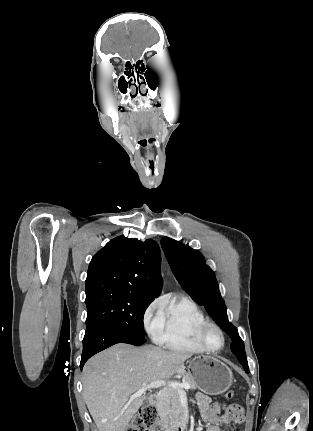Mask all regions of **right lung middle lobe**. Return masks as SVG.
I'll use <instances>...</instances> for the list:
<instances>
[{
	"label": "right lung middle lobe",
	"mask_w": 313,
	"mask_h": 431,
	"mask_svg": "<svg viewBox=\"0 0 313 431\" xmlns=\"http://www.w3.org/2000/svg\"><path fill=\"white\" fill-rule=\"evenodd\" d=\"M154 298L128 290H107L86 297V331L100 324L121 328L144 338L143 316Z\"/></svg>",
	"instance_id": "1"
}]
</instances>
